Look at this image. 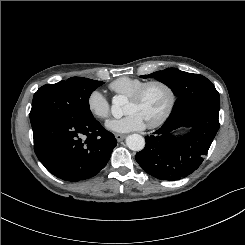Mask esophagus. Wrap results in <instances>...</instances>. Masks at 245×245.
<instances>
[{"label":"esophagus","instance_id":"34e87169","mask_svg":"<svg viewBox=\"0 0 245 245\" xmlns=\"http://www.w3.org/2000/svg\"><path fill=\"white\" fill-rule=\"evenodd\" d=\"M125 137L126 135L124 134H115V138L117 141H122Z\"/></svg>","mask_w":245,"mask_h":245}]
</instances>
